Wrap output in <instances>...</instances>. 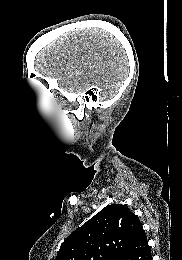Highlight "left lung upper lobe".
Returning a JSON list of instances; mask_svg holds the SVG:
<instances>
[{
    "instance_id": "obj_1",
    "label": "left lung upper lobe",
    "mask_w": 182,
    "mask_h": 260,
    "mask_svg": "<svg viewBox=\"0 0 182 260\" xmlns=\"http://www.w3.org/2000/svg\"><path fill=\"white\" fill-rule=\"evenodd\" d=\"M141 227L125 205H108L67 237L55 260H121Z\"/></svg>"
}]
</instances>
